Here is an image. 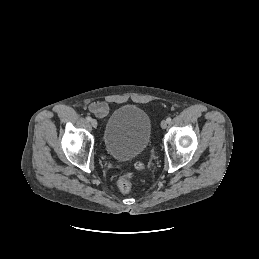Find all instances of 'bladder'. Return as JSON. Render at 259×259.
<instances>
[{
  "mask_svg": "<svg viewBox=\"0 0 259 259\" xmlns=\"http://www.w3.org/2000/svg\"><path fill=\"white\" fill-rule=\"evenodd\" d=\"M151 136L148 114L135 105H123L107 120L102 141L110 156L119 161H129L148 148Z\"/></svg>",
  "mask_w": 259,
  "mask_h": 259,
  "instance_id": "obj_1",
  "label": "bladder"
}]
</instances>
